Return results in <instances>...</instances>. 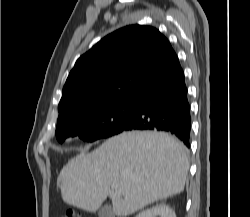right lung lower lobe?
I'll use <instances>...</instances> for the list:
<instances>
[{"label":"right lung lower lobe","mask_w":250,"mask_h":217,"mask_svg":"<svg viewBox=\"0 0 250 217\" xmlns=\"http://www.w3.org/2000/svg\"><path fill=\"white\" fill-rule=\"evenodd\" d=\"M134 100L133 118L123 131H167L190 147V105L180 64L161 81L138 94Z\"/></svg>","instance_id":"98d812e1"}]
</instances>
